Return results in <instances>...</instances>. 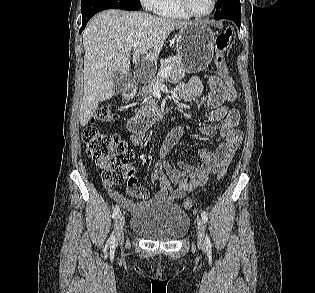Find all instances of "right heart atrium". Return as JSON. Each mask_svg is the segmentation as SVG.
I'll return each instance as SVG.
<instances>
[{"instance_id": "d8ad5b80", "label": "right heart atrium", "mask_w": 315, "mask_h": 293, "mask_svg": "<svg viewBox=\"0 0 315 293\" xmlns=\"http://www.w3.org/2000/svg\"><path fill=\"white\" fill-rule=\"evenodd\" d=\"M143 7L147 10H156L159 0H140Z\"/></svg>"}]
</instances>
